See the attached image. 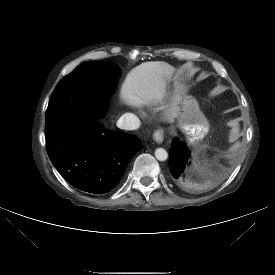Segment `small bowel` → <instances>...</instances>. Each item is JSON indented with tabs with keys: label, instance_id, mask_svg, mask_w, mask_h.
I'll use <instances>...</instances> for the list:
<instances>
[{
	"label": "small bowel",
	"instance_id": "obj_1",
	"mask_svg": "<svg viewBox=\"0 0 275 275\" xmlns=\"http://www.w3.org/2000/svg\"><path fill=\"white\" fill-rule=\"evenodd\" d=\"M230 125L234 127V126H236V122H235V121H231V122H230ZM236 130H237V128H234V131H236ZM238 146H239V145L236 144L235 146H233V147L231 148V150L237 149Z\"/></svg>",
	"mask_w": 275,
	"mask_h": 275
}]
</instances>
